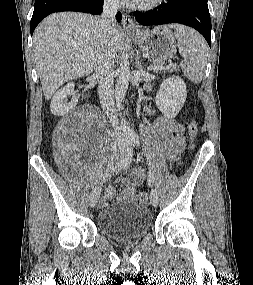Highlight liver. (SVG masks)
<instances>
[{
    "mask_svg": "<svg viewBox=\"0 0 253 285\" xmlns=\"http://www.w3.org/2000/svg\"><path fill=\"white\" fill-rule=\"evenodd\" d=\"M96 21L89 14L61 12L49 15L36 28L35 63L46 99L63 83L93 71L100 46ZM111 37L115 51L119 50L121 29L114 25Z\"/></svg>",
    "mask_w": 253,
    "mask_h": 285,
    "instance_id": "1",
    "label": "liver"
}]
</instances>
